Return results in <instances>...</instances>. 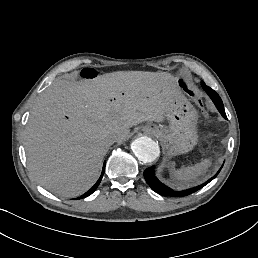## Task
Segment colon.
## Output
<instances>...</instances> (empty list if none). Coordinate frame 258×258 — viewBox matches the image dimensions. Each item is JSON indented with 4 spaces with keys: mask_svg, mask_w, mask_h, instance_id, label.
<instances>
[{
    "mask_svg": "<svg viewBox=\"0 0 258 258\" xmlns=\"http://www.w3.org/2000/svg\"><path fill=\"white\" fill-rule=\"evenodd\" d=\"M100 75H101V71L93 67L84 68L79 72V76L86 80L96 79Z\"/></svg>",
    "mask_w": 258,
    "mask_h": 258,
    "instance_id": "obj_1",
    "label": "colon"
}]
</instances>
